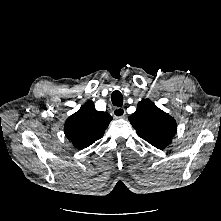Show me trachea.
Listing matches in <instances>:
<instances>
[{
	"mask_svg": "<svg viewBox=\"0 0 221 221\" xmlns=\"http://www.w3.org/2000/svg\"><path fill=\"white\" fill-rule=\"evenodd\" d=\"M111 101L114 106L121 107L123 105V96L119 90L113 91Z\"/></svg>",
	"mask_w": 221,
	"mask_h": 221,
	"instance_id": "trachea-1",
	"label": "trachea"
}]
</instances>
